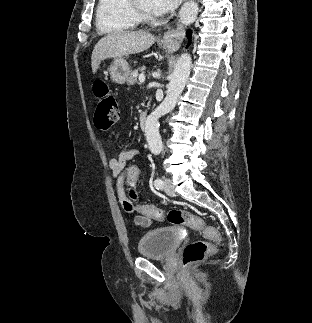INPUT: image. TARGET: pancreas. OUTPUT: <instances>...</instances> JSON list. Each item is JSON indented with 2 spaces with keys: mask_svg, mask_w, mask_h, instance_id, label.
<instances>
[{
  "mask_svg": "<svg viewBox=\"0 0 312 323\" xmlns=\"http://www.w3.org/2000/svg\"><path fill=\"white\" fill-rule=\"evenodd\" d=\"M137 76L136 72H131L129 78H127L128 86H133V84H137Z\"/></svg>",
  "mask_w": 312,
  "mask_h": 323,
  "instance_id": "cf45deb5",
  "label": "pancreas"
}]
</instances>
